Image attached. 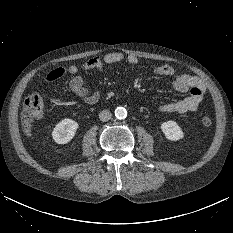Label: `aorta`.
<instances>
[{
    "label": "aorta",
    "instance_id": "762f6f07",
    "mask_svg": "<svg viewBox=\"0 0 233 233\" xmlns=\"http://www.w3.org/2000/svg\"><path fill=\"white\" fill-rule=\"evenodd\" d=\"M127 116V110L124 107H117L115 109V117L117 119H124Z\"/></svg>",
    "mask_w": 233,
    "mask_h": 233
}]
</instances>
